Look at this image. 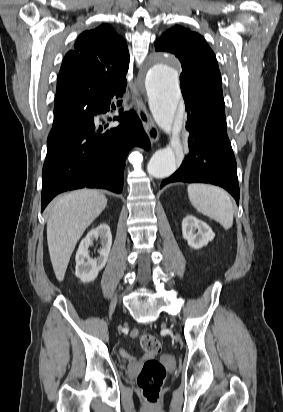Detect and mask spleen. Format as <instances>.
Masks as SVG:
<instances>
[{
  "label": "spleen",
  "mask_w": 283,
  "mask_h": 412,
  "mask_svg": "<svg viewBox=\"0 0 283 412\" xmlns=\"http://www.w3.org/2000/svg\"><path fill=\"white\" fill-rule=\"evenodd\" d=\"M188 196L200 213L219 222L224 229L233 225V205L230 196L221 188L206 184H190Z\"/></svg>",
  "instance_id": "1"
}]
</instances>
